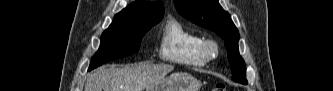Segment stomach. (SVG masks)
<instances>
[{"instance_id": "obj_1", "label": "stomach", "mask_w": 333, "mask_h": 91, "mask_svg": "<svg viewBox=\"0 0 333 91\" xmlns=\"http://www.w3.org/2000/svg\"><path fill=\"white\" fill-rule=\"evenodd\" d=\"M200 87L201 83L192 75L177 72L162 78L146 91H199Z\"/></svg>"}]
</instances>
